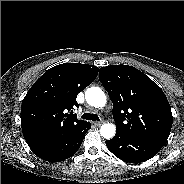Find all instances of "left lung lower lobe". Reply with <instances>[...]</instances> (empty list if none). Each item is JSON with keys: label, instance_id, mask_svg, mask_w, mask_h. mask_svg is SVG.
<instances>
[{"label": "left lung lower lobe", "instance_id": "1", "mask_svg": "<svg viewBox=\"0 0 184 184\" xmlns=\"http://www.w3.org/2000/svg\"><path fill=\"white\" fill-rule=\"evenodd\" d=\"M106 145L116 157L131 163L147 161L158 153V150L149 144L120 130L116 131L113 139L106 141Z\"/></svg>", "mask_w": 184, "mask_h": 184}]
</instances>
